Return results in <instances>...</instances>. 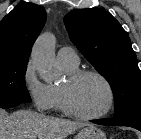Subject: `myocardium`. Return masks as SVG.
I'll list each match as a JSON object with an SVG mask.
<instances>
[{
  "label": "myocardium",
  "instance_id": "1",
  "mask_svg": "<svg viewBox=\"0 0 141 139\" xmlns=\"http://www.w3.org/2000/svg\"><path fill=\"white\" fill-rule=\"evenodd\" d=\"M86 76H94L100 79L104 83L108 91V96H109L108 104L106 108L98 114H94V115L83 114L77 111L71 103L70 89L72 85L76 83L78 80H80L81 78ZM59 91H60L61 109L63 110V112L69 116L82 119V120L90 121V120H99V119L105 118L112 111L115 104V92L111 82L108 80V78L105 75H103L99 71L92 70V69H82V70H76L74 72L68 73L66 78V83L59 87Z\"/></svg>",
  "mask_w": 141,
  "mask_h": 139
}]
</instances>
